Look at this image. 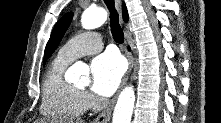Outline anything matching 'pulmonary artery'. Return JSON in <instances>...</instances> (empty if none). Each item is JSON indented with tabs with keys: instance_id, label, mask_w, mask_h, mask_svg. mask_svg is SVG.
Here are the masks:
<instances>
[{
	"instance_id": "e3ab8cb5",
	"label": "pulmonary artery",
	"mask_w": 221,
	"mask_h": 123,
	"mask_svg": "<svg viewBox=\"0 0 221 123\" xmlns=\"http://www.w3.org/2000/svg\"><path fill=\"white\" fill-rule=\"evenodd\" d=\"M103 48L101 36L96 32H85L79 34L63 45L58 57L66 61H73L78 57L94 54Z\"/></svg>"
}]
</instances>
